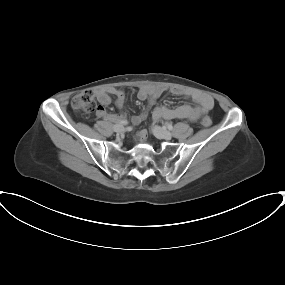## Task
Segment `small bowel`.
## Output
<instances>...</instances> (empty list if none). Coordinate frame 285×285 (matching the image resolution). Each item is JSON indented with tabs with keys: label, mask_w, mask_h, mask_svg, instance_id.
<instances>
[{
	"label": "small bowel",
	"mask_w": 285,
	"mask_h": 285,
	"mask_svg": "<svg viewBox=\"0 0 285 285\" xmlns=\"http://www.w3.org/2000/svg\"><path fill=\"white\" fill-rule=\"evenodd\" d=\"M163 87L142 86L137 91V98L140 101H147L148 107L140 114L132 117V123L138 125L142 123L148 116L150 108L157 102L162 93ZM171 92L178 96H189L196 103V106L183 104L177 107L157 106L152 112V117L155 121L162 119H186L191 122L196 121L201 115L207 114L214 105L213 98L207 94L200 92H188L179 88H173ZM94 93L100 104L102 105L97 110V116L103 119L116 121L123 117V105L125 102V93L117 88H95ZM110 94L116 97L115 105L120 110L118 115L108 113L103 106L110 104ZM147 137V132L141 130L137 133V139L144 141Z\"/></svg>",
	"instance_id": "c3829d8e"
}]
</instances>
